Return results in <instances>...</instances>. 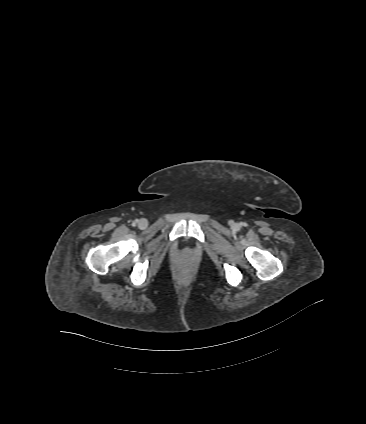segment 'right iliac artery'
I'll use <instances>...</instances> for the list:
<instances>
[{
    "instance_id": "right-iliac-artery-1",
    "label": "right iliac artery",
    "mask_w": 366,
    "mask_h": 424,
    "mask_svg": "<svg viewBox=\"0 0 366 424\" xmlns=\"http://www.w3.org/2000/svg\"><path fill=\"white\" fill-rule=\"evenodd\" d=\"M137 222H138V220L134 221V222L132 223V225H133V226H135Z\"/></svg>"
}]
</instances>
